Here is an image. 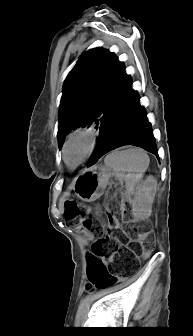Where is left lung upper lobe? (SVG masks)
Here are the masks:
<instances>
[{
    "instance_id": "1",
    "label": "left lung upper lobe",
    "mask_w": 193,
    "mask_h": 336,
    "mask_svg": "<svg viewBox=\"0 0 193 336\" xmlns=\"http://www.w3.org/2000/svg\"><path fill=\"white\" fill-rule=\"evenodd\" d=\"M122 62L108 50L83 53L68 74L60 103L59 146L74 128H99L115 104L126 78Z\"/></svg>"
}]
</instances>
